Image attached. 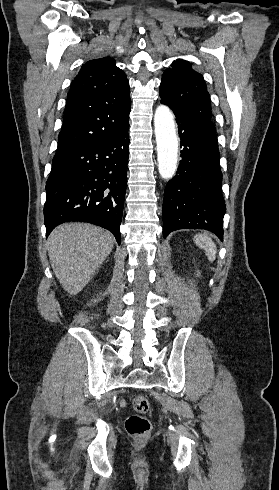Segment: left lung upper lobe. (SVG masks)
Masks as SVG:
<instances>
[{
  "label": "left lung upper lobe",
  "instance_id": "1",
  "mask_svg": "<svg viewBox=\"0 0 279 490\" xmlns=\"http://www.w3.org/2000/svg\"><path fill=\"white\" fill-rule=\"evenodd\" d=\"M159 94L161 102L172 109L213 121L210 95L203 76L192 70L189 62L178 59L166 69Z\"/></svg>",
  "mask_w": 279,
  "mask_h": 490
}]
</instances>
